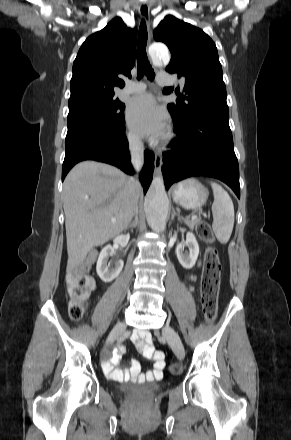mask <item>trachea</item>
Here are the masks:
<instances>
[{
  "mask_svg": "<svg viewBox=\"0 0 291 440\" xmlns=\"http://www.w3.org/2000/svg\"><path fill=\"white\" fill-rule=\"evenodd\" d=\"M147 45V27L144 20L141 21L138 34L137 43V76L138 79L146 75L150 81L155 78L154 70L152 69L146 54Z\"/></svg>",
  "mask_w": 291,
  "mask_h": 440,
  "instance_id": "obj_1",
  "label": "trachea"
}]
</instances>
